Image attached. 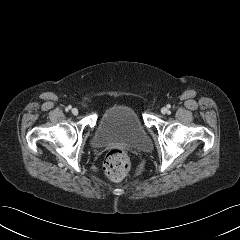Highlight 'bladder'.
Wrapping results in <instances>:
<instances>
[{
  "label": "bladder",
  "instance_id": "bladder-1",
  "mask_svg": "<svg viewBox=\"0 0 240 240\" xmlns=\"http://www.w3.org/2000/svg\"><path fill=\"white\" fill-rule=\"evenodd\" d=\"M94 142L97 146L118 143L145 148L149 137L136 110L129 105L120 104L103 113L94 134Z\"/></svg>",
  "mask_w": 240,
  "mask_h": 240
}]
</instances>
